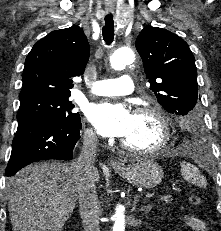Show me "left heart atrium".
<instances>
[{
  "label": "left heart atrium",
  "mask_w": 221,
  "mask_h": 231,
  "mask_svg": "<svg viewBox=\"0 0 221 231\" xmlns=\"http://www.w3.org/2000/svg\"><path fill=\"white\" fill-rule=\"evenodd\" d=\"M88 118L105 137H124L131 129L133 114L123 104L103 102L90 107Z\"/></svg>",
  "instance_id": "obj_1"
}]
</instances>
